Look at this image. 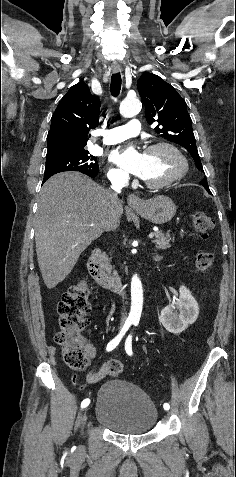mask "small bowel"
<instances>
[{
  "mask_svg": "<svg viewBox=\"0 0 236 477\" xmlns=\"http://www.w3.org/2000/svg\"><path fill=\"white\" fill-rule=\"evenodd\" d=\"M85 347L89 358L91 360H94L96 358V349L94 348V346L88 341H85ZM108 373V363H104L97 371L94 369L89 370L86 375V381L90 384L97 383L104 379L108 375Z\"/></svg>",
  "mask_w": 236,
  "mask_h": 477,
  "instance_id": "obj_1",
  "label": "small bowel"
}]
</instances>
